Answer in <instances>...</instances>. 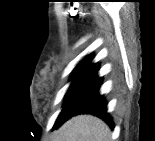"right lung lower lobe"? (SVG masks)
<instances>
[{
    "label": "right lung lower lobe",
    "mask_w": 155,
    "mask_h": 141,
    "mask_svg": "<svg viewBox=\"0 0 155 141\" xmlns=\"http://www.w3.org/2000/svg\"><path fill=\"white\" fill-rule=\"evenodd\" d=\"M102 78L97 73L69 100L63 108V118L54 125L58 128L65 121L78 114H92L101 119L113 128L114 124L107 114V104L102 95L99 94V88Z\"/></svg>",
    "instance_id": "1"
}]
</instances>
